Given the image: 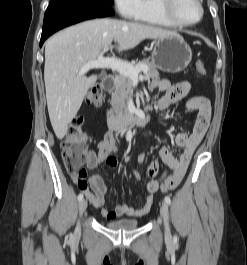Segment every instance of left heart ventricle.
<instances>
[{
	"instance_id": "obj_1",
	"label": "left heart ventricle",
	"mask_w": 247,
	"mask_h": 265,
	"mask_svg": "<svg viewBox=\"0 0 247 265\" xmlns=\"http://www.w3.org/2000/svg\"><path fill=\"white\" fill-rule=\"evenodd\" d=\"M175 12L184 22H194L200 16V8L196 0H177Z\"/></svg>"
}]
</instances>
